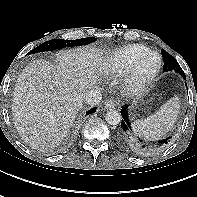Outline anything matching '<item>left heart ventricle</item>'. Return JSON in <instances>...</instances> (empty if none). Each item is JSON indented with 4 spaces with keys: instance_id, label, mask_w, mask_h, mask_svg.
<instances>
[{
    "instance_id": "b2bd125f",
    "label": "left heart ventricle",
    "mask_w": 197,
    "mask_h": 197,
    "mask_svg": "<svg viewBox=\"0 0 197 197\" xmlns=\"http://www.w3.org/2000/svg\"><path fill=\"white\" fill-rule=\"evenodd\" d=\"M158 58L156 56L147 57L139 66V74L141 76H147L151 74L157 67Z\"/></svg>"
}]
</instances>
